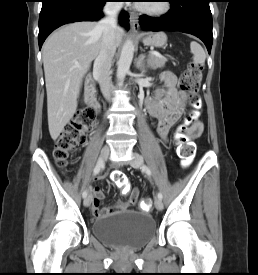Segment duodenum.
Segmentation results:
<instances>
[{
    "label": "duodenum",
    "instance_id": "410a0bca",
    "mask_svg": "<svg viewBox=\"0 0 258 275\" xmlns=\"http://www.w3.org/2000/svg\"><path fill=\"white\" fill-rule=\"evenodd\" d=\"M85 101L88 106L95 112L99 109V102L97 98V91L92 82H89L86 87Z\"/></svg>",
    "mask_w": 258,
    "mask_h": 275
}]
</instances>
